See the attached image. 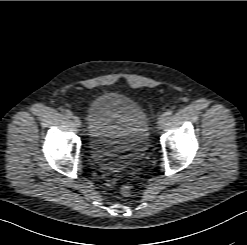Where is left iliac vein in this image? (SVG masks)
I'll return each instance as SVG.
<instances>
[{
  "instance_id": "4c4485c4",
  "label": "left iliac vein",
  "mask_w": 247,
  "mask_h": 245,
  "mask_svg": "<svg viewBox=\"0 0 247 245\" xmlns=\"http://www.w3.org/2000/svg\"><path fill=\"white\" fill-rule=\"evenodd\" d=\"M165 121H166V119L163 117V115H161V116L158 118L157 127H158L159 129H162L163 126H164Z\"/></svg>"
}]
</instances>
